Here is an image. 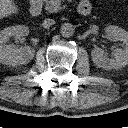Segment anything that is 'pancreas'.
I'll return each instance as SVG.
<instances>
[{
    "label": "pancreas",
    "instance_id": "cf45deb5",
    "mask_svg": "<svg viewBox=\"0 0 128 128\" xmlns=\"http://www.w3.org/2000/svg\"><path fill=\"white\" fill-rule=\"evenodd\" d=\"M46 6L45 9L50 12H58L62 9L61 0H44Z\"/></svg>",
    "mask_w": 128,
    "mask_h": 128
}]
</instances>
